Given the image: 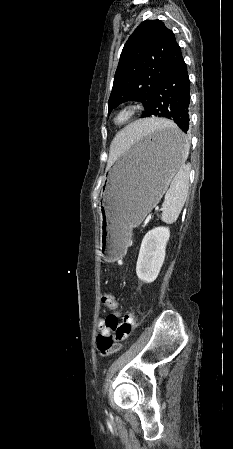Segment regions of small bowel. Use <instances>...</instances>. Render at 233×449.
<instances>
[{
	"mask_svg": "<svg viewBox=\"0 0 233 449\" xmlns=\"http://www.w3.org/2000/svg\"><path fill=\"white\" fill-rule=\"evenodd\" d=\"M104 329H105V320L101 318L98 321V330L100 331V334L104 331Z\"/></svg>",
	"mask_w": 233,
	"mask_h": 449,
	"instance_id": "1",
	"label": "small bowel"
}]
</instances>
